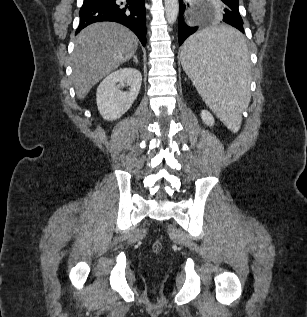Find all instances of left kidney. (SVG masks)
Returning <instances> with one entry per match:
<instances>
[{
	"mask_svg": "<svg viewBox=\"0 0 307 317\" xmlns=\"http://www.w3.org/2000/svg\"><path fill=\"white\" fill-rule=\"evenodd\" d=\"M201 118H202L203 122L208 126H213L215 123V120H214L212 114L207 110L201 111Z\"/></svg>",
	"mask_w": 307,
	"mask_h": 317,
	"instance_id": "left-kidney-1",
	"label": "left kidney"
}]
</instances>
